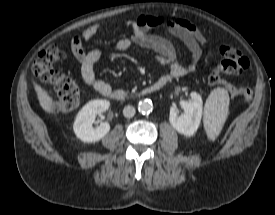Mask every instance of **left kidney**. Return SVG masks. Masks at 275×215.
Returning a JSON list of instances; mask_svg holds the SVG:
<instances>
[{
  "label": "left kidney",
  "mask_w": 275,
  "mask_h": 215,
  "mask_svg": "<svg viewBox=\"0 0 275 215\" xmlns=\"http://www.w3.org/2000/svg\"><path fill=\"white\" fill-rule=\"evenodd\" d=\"M189 101H181L180 105L184 110V114L179 116L174 107L170 109L169 121L171 125L181 134L192 136L198 129L203 109V101L201 96L192 92Z\"/></svg>",
  "instance_id": "obj_1"
}]
</instances>
